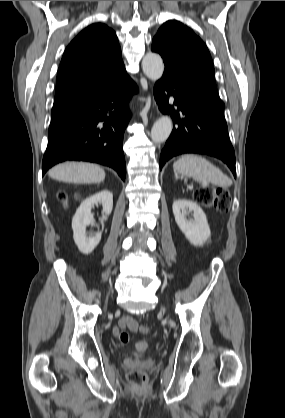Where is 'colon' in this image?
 Listing matches in <instances>:
<instances>
[{
  "mask_svg": "<svg viewBox=\"0 0 285 418\" xmlns=\"http://www.w3.org/2000/svg\"><path fill=\"white\" fill-rule=\"evenodd\" d=\"M59 198L64 202L67 200L65 193L60 192ZM197 202L208 208H215L219 212L228 211L231 203V197L226 189L209 186L199 189L195 192ZM118 338L121 342L127 343L130 339L128 332L121 330L118 332ZM139 352H145L148 349V343L140 341L136 344ZM128 381L135 387L143 388L147 385V376L142 371H131L128 373Z\"/></svg>",
  "mask_w": 285,
  "mask_h": 418,
  "instance_id": "obj_1",
  "label": "colon"
}]
</instances>
